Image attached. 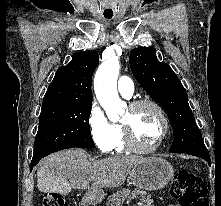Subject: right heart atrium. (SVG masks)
Segmentation results:
<instances>
[{
	"mask_svg": "<svg viewBox=\"0 0 221 206\" xmlns=\"http://www.w3.org/2000/svg\"><path fill=\"white\" fill-rule=\"evenodd\" d=\"M88 126L92 140L103 153L110 152L117 136V128L105 115L99 104L94 101L91 105Z\"/></svg>",
	"mask_w": 221,
	"mask_h": 206,
	"instance_id": "1",
	"label": "right heart atrium"
}]
</instances>
